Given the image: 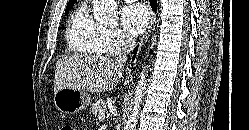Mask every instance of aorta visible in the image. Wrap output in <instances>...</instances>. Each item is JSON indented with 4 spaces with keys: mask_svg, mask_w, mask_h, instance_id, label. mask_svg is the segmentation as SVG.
I'll list each match as a JSON object with an SVG mask.
<instances>
[{
    "mask_svg": "<svg viewBox=\"0 0 249 130\" xmlns=\"http://www.w3.org/2000/svg\"><path fill=\"white\" fill-rule=\"evenodd\" d=\"M93 13L95 19L100 22H115L117 20V3L115 0H96L93 7ZM147 77L148 66H144L140 73L138 84L136 86L131 114L124 125V130H135L136 128L141 104L145 95Z\"/></svg>",
    "mask_w": 249,
    "mask_h": 130,
    "instance_id": "aorta-1",
    "label": "aorta"
}]
</instances>
